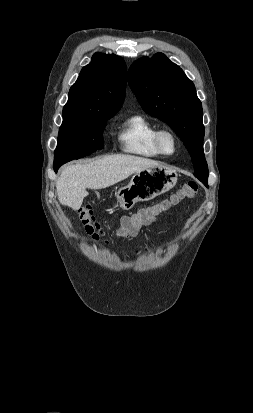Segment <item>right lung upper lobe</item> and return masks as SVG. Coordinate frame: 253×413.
I'll list each match as a JSON object with an SVG mask.
<instances>
[{
    "label": "right lung upper lobe",
    "mask_w": 253,
    "mask_h": 413,
    "mask_svg": "<svg viewBox=\"0 0 253 413\" xmlns=\"http://www.w3.org/2000/svg\"><path fill=\"white\" fill-rule=\"evenodd\" d=\"M126 90V64L116 56L95 53L70 88L63 120L91 118L117 113Z\"/></svg>",
    "instance_id": "right-lung-upper-lobe-1"
}]
</instances>
